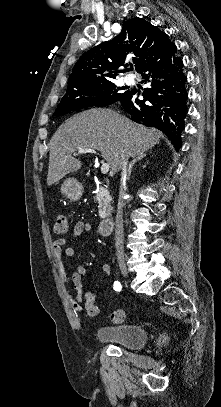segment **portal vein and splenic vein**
I'll return each instance as SVG.
<instances>
[{"label":"portal vein and splenic vein","mask_w":221,"mask_h":407,"mask_svg":"<svg viewBox=\"0 0 221 407\" xmlns=\"http://www.w3.org/2000/svg\"><path fill=\"white\" fill-rule=\"evenodd\" d=\"M86 153H94L96 154V151L94 149L90 148H85V149H79L76 154H86ZM110 165L107 162L102 163L101 165V173L102 174H107L109 172Z\"/></svg>","instance_id":"obj_1"}]
</instances>
